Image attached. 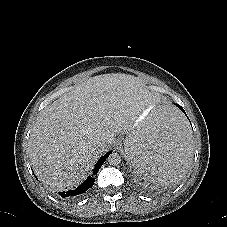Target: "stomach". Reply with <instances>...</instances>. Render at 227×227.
<instances>
[{
	"label": "stomach",
	"mask_w": 227,
	"mask_h": 227,
	"mask_svg": "<svg viewBox=\"0 0 227 227\" xmlns=\"http://www.w3.org/2000/svg\"><path fill=\"white\" fill-rule=\"evenodd\" d=\"M151 109H152V107L145 108L142 111V113L138 116V118H137L136 122L134 123L133 127L128 132H130L132 130H135L136 125L138 124V122H140L141 120H144L146 116H148L149 114H151Z\"/></svg>",
	"instance_id": "obj_1"
}]
</instances>
